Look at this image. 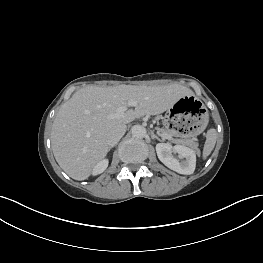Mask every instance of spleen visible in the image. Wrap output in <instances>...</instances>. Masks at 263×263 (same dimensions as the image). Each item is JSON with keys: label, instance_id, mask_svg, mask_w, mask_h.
I'll use <instances>...</instances> for the list:
<instances>
[{"label": "spleen", "instance_id": "obj_1", "mask_svg": "<svg viewBox=\"0 0 263 263\" xmlns=\"http://www.w3.org/2000/svg\"><path fill=\"white\" fill-rule=\"evenodd\" d=\"M216 138H217L216 130L210 129L207 132L206 142L203 148V153H202L203 159H206L210 155L212 150L214 149L215 144H216Z\"/></svg>", "mask_w": 263, "mask_h": 263}]
</instances>
